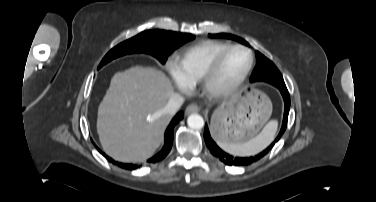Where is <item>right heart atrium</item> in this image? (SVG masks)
Masks as SVG:
<instances>
[{
	"mask_svg": "<svg viewBox=\"0 0 376 202\" xmlns=\"http://www.w3.org/2000/svg\"><path fill=\"white\" fill-rule=\"evenodd\" d=\"M168 69L172 75V77L174 78L175 82L177 83L178 87L182 90V91H187L188 90V87L182 82V80L180 79L179 75H178V72H177V69H176V66L174 64V62L170 61L168 63Z\"/></svg>",
	"mask_w": 376,
	"mask_h": 202,
	"instance_id": "right-heart-atrium-1",
	"label": "right heart atrium"
}]
</instances>
